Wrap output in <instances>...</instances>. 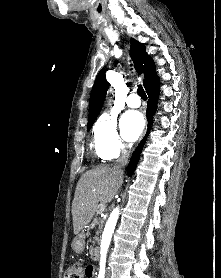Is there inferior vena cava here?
Masks as SVG:
<instances>
[{
    "label": "inferior vena cava",
    "instance_id": "1",
    "mask_svg": "<svg viewBox=\"0 0 221 278\" xmlns=\"http://www.w3.org/2000/svg\"><path fill=\"white\" fill-rule=\"evenodd\" d=\"M130 151L129 150H123L122 155L117 163V165L114 167V169L121 175H123V169L127 163L129 158Z\"/></svg>",
    "mask_w": 221,
    "mask_h": 278
}]
</instances>
